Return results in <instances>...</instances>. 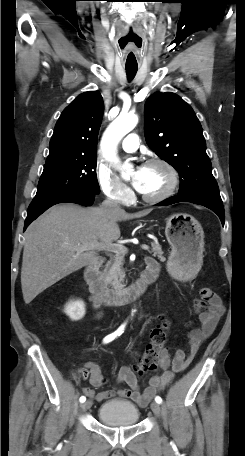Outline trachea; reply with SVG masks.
<instances>
[{
  "mask_svg": "<svg viewBox=\"0 0 245 456\" xmlns=\"http://www.w3.org/2000/svg\"><path fill=\"white\" fill-rule=\"evenodd\" d=\"M136 72H137V67H129V66L126 67L127 78L129 80H132L134 78V76L136 75Z\"/></svg>",
  "mask_w": 245,
  "mask_h": 456,
  "instance_id": "3493384b",
  "label": "trachea"
}]
</instances>
